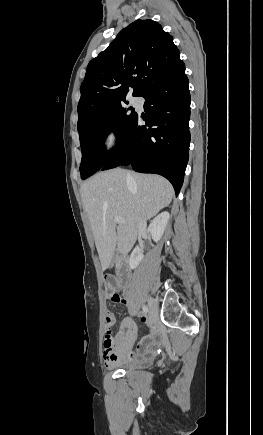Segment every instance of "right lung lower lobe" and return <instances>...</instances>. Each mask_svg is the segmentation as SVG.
<instances>
[{
  "mask_svg": "<svg viewBox=\"0 0 263 435\" xmlns=\"http://www.w3.org/2000/svg\"><path fill=\"white\" fill-rule=\"evenodd\" d=\"M184 63L152 84L145 98L146 115H138L102 170L131 165L141 173L167 178L176 195L183 184L189 156L190 93ZM146 125H141V120Z\"/></svg>",
  "mask_w": 263,
  "mask_h": 435,
  "instance_id": "obj_1",
  "label": "right lung lower lobe"
}]
</instances>
